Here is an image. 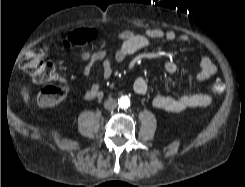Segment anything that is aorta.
Returning <instances> with one entry per match:
<instances>
[{
    "label": "aorta",
    "instance_id": "1",
    "mask_svg": "<svg viewBox=\"0 0 245 187\" xmlns=\"http://www.w3.org/2000/svg\"><path fill=\"white\" fill-rule=\"evenodd\" d=\"M118 104H119V107L122 109L128 108L130 106V99L128 98V96H122L118 100Z\"/></svg>",
    "mask_w": 245,
    "mask_h": 187
}]
</instances>
